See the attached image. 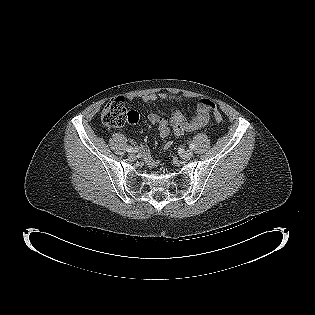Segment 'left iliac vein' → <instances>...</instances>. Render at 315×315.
I'll use <instances>...</instances> for the list:
<instances>
[{
  "instance_id": "obj_1",
  "label": "left iliac vein",
  "mask_w": 315,
  "mask_h": 315,
  "mask_svg": "<svg viewBox=\"0 0 315 315\" xmlns=\"http://www.w3.org/2000/svg\"><path fill=\"white\" fill-rule=\"evenodd\" d=\"M180 156L183 159H190L193 157V152L191 150H186V151L182 152Z\"/></svg>"
}]
</instances>
